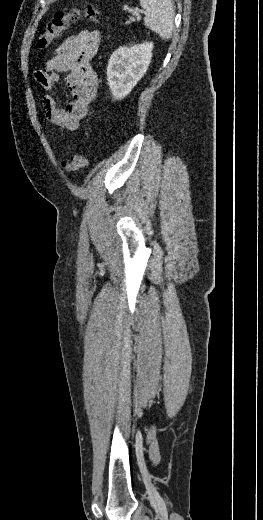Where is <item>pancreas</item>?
I'll list each match as a JSON object with an SVG mask.
<instances>
[{"label": "pancreas", "instance_id": "cf45deb5", "mask_svg": "<svg viewBox=\"0 0 263 520\" xmlns=\"http://www.w3.org/2000/svg\"><path fill=\"white\" fill-rule=\"evenodd\" d=\"M130 13H132L134 15L133 16H130L129 19L126 21V24L129 25L135 21H140L141 20V16H140V12L139 10H136V9H130L129 10Z\"/></svg>", "mask_w": 263, "mask_h": 520}]
</instances>
